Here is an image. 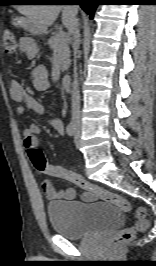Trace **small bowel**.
Returning <instances> with one entry per match:
<instances>
[{
  "label": "small bowel",
  "mask_w": 156,
  "mask_h": 266,
  "mask_svg": "<svg viewBox=\"0 0 156 266\" xmlns=\"http://www.w3.org/2000/svg\"><path fill=\"white\" fill-rule=\"evenodd\" d=\"M20 51L25 53L27 57L34 58L37 55L38 47L35 41L29 37H22L19 45ZM33 83L34 87L39 91H44L49 88V75L45 66H38L33 70ZM9 95L13 101L18 105L16 107V113L22 115L25 108H28L36 114H44L43 105L33 96H30L25 91L24 87L17 81L11 80L9 84ZM49 124L55 129L58 134H62L64 127L60 120H50ZM40 133V127L36 124L28 125L23 131V145L29 153L30 150L38 148ZM43 190L48 199H64L73 200L76 197V191L72 187H66L61 190H57L54 183L46 179L43 182ZM82 199L86 202H92L97 199L94 195L84 192Z\"/></svg>",
  "instance_id": "1"
}]
</instances>
